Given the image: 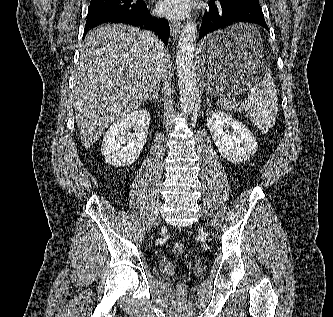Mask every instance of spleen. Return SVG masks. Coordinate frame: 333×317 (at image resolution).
Masks as SVG:
<instances>
[{
	"mask_svg": "<svg viewBox=\"0 0 333 317\" xmlns=\"http://www.w3.org/2000/svg\"><path fill=\"white\" fill-rule=\"evenodd\" d=\"M257 36H260L258 30L252 27L247 39L253 44ZM237 109L244 112L263 134L274 126L278 112V98L270 72L264 73L260 81L249 90L248 98Z\"/></svg>",
	"mask_w": 333,
	"mask_h": 317,
	"instance_id": "spleen-1",
	"label": "spleen"
}]
</instances>
